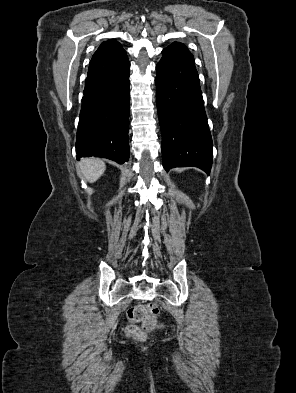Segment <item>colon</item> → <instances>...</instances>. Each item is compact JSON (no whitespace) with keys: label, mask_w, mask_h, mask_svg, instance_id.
I'll return each mask as SVG.
<instances>
[{"label":"colon","mask_w":296,"mask_h":393,"mask_svg":"<svg viewBox=\"0 0 296 393\" xmlns=\"http://www.w3.org/2000/svg\"><path fill=\"white\" fill-rule=\"evenodd\" d=\"M158 313V306L152 303L131 307L127 312V317L132 322L140 323V326H128L126 328L127 334L138 340L146 339L148 332L157 326L156 316Z\"/></svg>","instance_id":"colon-1"}]
</instances>
